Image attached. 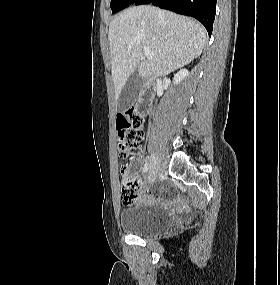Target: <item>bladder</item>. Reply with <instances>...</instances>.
<instances>
[{"mask_svg":"<svg viewBox=\"0 0 280 285\" xmlns=\"http://www.w3.org/2000/svg\"><path fill=\"white\" fill-rule=\"evenodd\" d=\"M172 218L148 204H135L121 210L120 227L133 235L150 236L163 231Z\"/></svg>","mask_w":280,"mask_h":285,"instance_id":"obj_1","label":"bladder"}]
</instances>
